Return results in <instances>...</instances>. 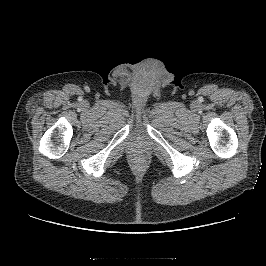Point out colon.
Instances as JSON below:
<instances>
[{"instance_id": "5ec220e1", "label": "colon", "mask_w": 266, "mask_h": 266, "mask_svg": "<svg viewBox=\"0 0 266 266\" xmlns=\"http://www.w3.org/2000/svg\"><path fill=\"white\" fill-rule=\"evenodd\" d=\"M141 166H142L141 163H136L137 168H141Z\"/></svg>"}]
</instances>
